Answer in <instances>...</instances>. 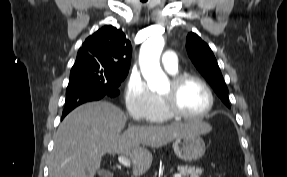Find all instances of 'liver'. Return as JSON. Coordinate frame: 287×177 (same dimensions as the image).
I'll list each match as a JSON object with an SVG mask.
<instances>
[{"instance_id":"6515ba94","label":"liver","mask_w":287,"mask_h":177,"mask_svg":"<svg viewBox=\"0 0 287 177\" xmlns=\"http://www.w3.org/2000/svg\"><path fill=\"white\" fill-rule=\"evenodd\" d=\"M125 124L123 111L106 101L74 109L55 135L49 177H94L106 153L128 156L137 177L147 172L153 160L144 146L162 147L184 134L212 129L200 120H189L163 126L132 125L122 133Z\"/></svg>"}]
</instances>
